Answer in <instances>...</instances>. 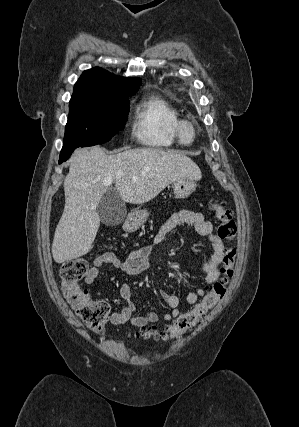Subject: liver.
<instances>
[{"mask_svg":"<svg viewBox=\"0 0 299 427\" xmlns=\"http://www.w3.org/2000/svg\"><path fill=\"white\" fill-rule=\"evenodd\" d=\"M69 162L63 184L64 212L52 244L56 263L76 259L92 249L100 226L97 205L108 190L104 180L112 179L124 202L143 204L176 180L202 177L199 167L185 154L153 148L115 155H107L100 147L79 148Z\"/></svg>","mask_w":299,"mask_h":427,"instance_id":"6515ba94","label":"liver"}]
</instances>
